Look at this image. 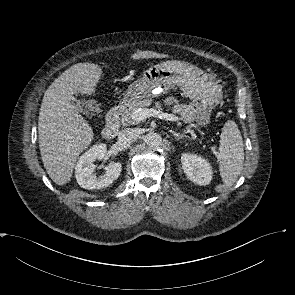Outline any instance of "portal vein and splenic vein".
Segmentation results:
<instances>
[{
	"mask_svg": "<svg viewBox=\"0 0 295 295\" xmlns=\"http://www.w3.org/2000/svg\"><path fill=\"white\" fill-rule=\"evenodd\" d=\"M151 116L158 117L160 119L169 120V121H177V120H179V118L177 116L173 115V114L163 113V112L155 110V109H143V108L137 109L133 113L132 118L136 122H141L145 118H148V117H151Z\"/></svg>",
	"mask_w": 295,
	"mask_h": 295,
	"instance_id": "obj_1",
	"label": "portal vein and splenic vein"
}]
</instances>
